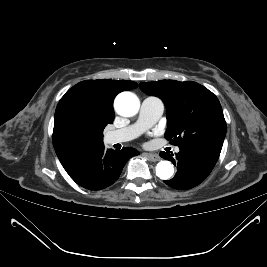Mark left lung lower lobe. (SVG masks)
<instances>
[{
    "mask_svg": "<svg viewBox=\"0 0 267 267\" xmlns=\"http://www.w3.org/2000/svg\"><path fill=\"white\" fill-rule=\"evenodd\" d=\"M176 157L168 152L160 156L177 165V174L171 180L164 181L172 188L187 190L200 184L214 168L221 150L208 146L179 147Z\"/></svg>",
    "mask_w": 267,
    "mask_h": 267,
    "instance_id": "obj_1",
    "label": "left lung lower lobe"
}]
</instances>
